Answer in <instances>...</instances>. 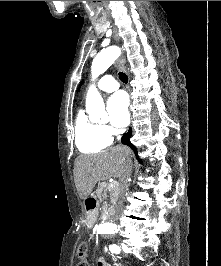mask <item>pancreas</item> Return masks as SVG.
Returning <instances> with one entry per match:
<instances>
[{
    "label": "pancreas",
    "mask_w": 221,
    "mask_h": 266,
    "mask_svg": "<svg viewBox=\"0 0 221 266\" xmlns=\"http://www.w3.org/2000/svg\"><path fill=\"white\" fill-rule=\"evenodd\" d=\"M96 194L100 202L106 203L110 200V203L112 204L111 207H113L118 199L119 189H109V184L102 183L97 187Z\"/></svg>",
    "instance_id": "pancreas-1"
}]
</instances>
